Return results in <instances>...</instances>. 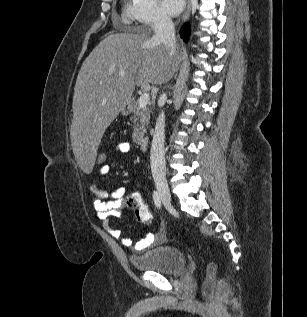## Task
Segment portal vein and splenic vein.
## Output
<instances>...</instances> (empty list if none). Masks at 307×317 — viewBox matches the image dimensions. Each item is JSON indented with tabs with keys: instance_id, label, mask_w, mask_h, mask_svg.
Here are the masks:
<instances>
[{
	"instance_id": "18ae733b",
	"label": "portal vein and splenic vein",
	"mask_w": 307,
	"mask_h": 317,
	"mask_svg": "<svg viewBox=\"0 0 307 317\" xmlns=\"http://www.w3.org/2000/svg\"><path fill=\"white\" fill-rule=\"evenodd\" d=\"M119 75L120 76H124V73L121 72V73H119ZM149 100H150L149 93H147V92L142 93L140 95V97H139V106L140 107H146V105L148 104Z\"/></svg>"
}]
</instances>
